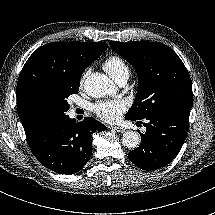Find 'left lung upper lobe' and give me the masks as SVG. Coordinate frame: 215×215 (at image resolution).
<instances>
[{"label":"left lung upper lobe","mask_w":215,"mask_h":215,"mask_svg":"<svg viewBox=\"0 0 215 215\" xmlns=\"http://www.w3.org/2000/svg\"><path fill=\"white\" fill-rule=\"evenodd\" d=\"M111 48L127 60L138 75L134 104L126 114L130 120H142L162 111L191 109L192 83L178 55L158 42H110Z\"/></svg>","instance_id":"1"}]
</instances>
